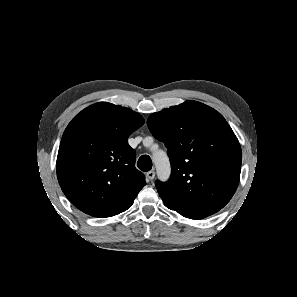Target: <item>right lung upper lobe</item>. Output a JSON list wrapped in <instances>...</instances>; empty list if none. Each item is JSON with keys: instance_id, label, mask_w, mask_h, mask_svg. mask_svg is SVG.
Segmentation results:
<instances>
[{"instance_id": "cb5924a9", "label": "right lung upper lobe", "mask_w": 297, "mask_h": 297, "mask_svg": "<svg viewBox=\"0 0 297 297\" xmlns=\"http://www.w3.org/2000/svg\"><path fill=\"white\" fill-rule=\"evenodd\" d=\"M144 124L136 112L108 102L77 114L65 129L57 156L62 191L78 209L94 217L127 210L146 185L135 168L128 137Z\"/></svg>"}]
</instances>
